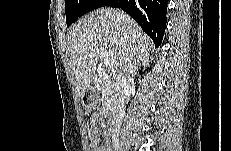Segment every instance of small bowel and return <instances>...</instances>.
<instances>
[{"instance_id":"c3829d8e","label":"small bowel","mask_w":231,"mask_h":151,"mask_svg":"<svg viewBox=\"0 0 231 151\" xmlns=\"http://www.w3.org/2000/svg\"><path fill=\"white\" fill-rule=\"evenodd\" d=\"M101 118L99 113H95L91 116L88 129L90 135V151H111L109 132L104 130L103 132L98 128L97 122ZM101 136L106 139V144H101Z\"/></svg>"}]
</instances>
